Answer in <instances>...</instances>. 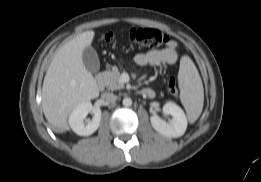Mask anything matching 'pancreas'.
Masks as SVG:
<instances>
[{
	"label": "pancreas",
	"instance_id": "pancreas-1",
	"mask_svg": "<svg viewBox=\"0 0 261 182\" xmlns=\"http://www.w3.org/2000/svg\"><path fill=\"white\" fill-rule=\"evenodd\" d=\"M104 83L110 90H117L124 88V83L120 80V72L117 67L112 68V71H105L102 73Z\"/></svg>",
	"mask_w": 261,
	"mask_h": 182
}]
</instances>
